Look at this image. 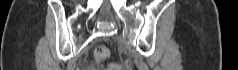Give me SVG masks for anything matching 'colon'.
Here are the masks:
<instances>
[{"instance_id": "5ec220e1", "label": "colon", "mask_w": 238, "mask_h": 70, "mask_svg": "<svg viewBox=\"0 0 238 70\" xmlns=\"http://www.w3.org/2000/svg\"><path fill=\"white\" fill-rule=\"evenodd\" d=\"M109 54V49L106 46L100 45L94 49V56L99 65L109 57ZM116 68H119V63H107L104 70H117Z\"/></svg>"}]
</instances>
